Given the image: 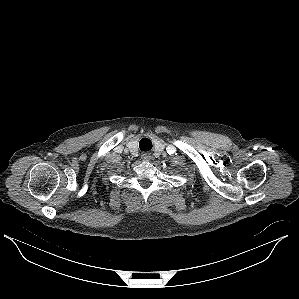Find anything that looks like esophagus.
<instances>
[{
  "label": "esophagus",
  "instance_id": "1",
  "mask_svg": "<svg viewBox=\"0 0 299 299\" xmlns=\"http://www.w3.org/2000/svg\"><path fill=\"white\" fill-rule=\"evenodd\" d=\"M141 158H142L144 161H149V160H151L152 156H151L150 153L145 152V153H143V154L141 155Z\"/></svg>",
  "mask_w": 299,
  "mask_h": 299
}]
</instances>
